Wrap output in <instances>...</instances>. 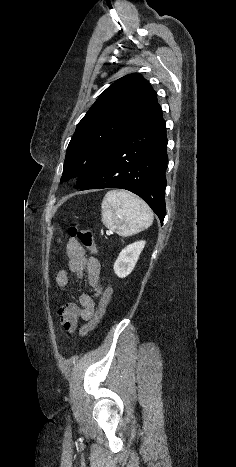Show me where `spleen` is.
I'll use <instances>...</instances> for the list:
<instances>
[{
  "label": "spleen",
  "mask_w": 236,
  "mask_h": 467,
  "mask_svg": "<svg viewBox=\"0 0 236 467\" xmlns=\"http://www.w3.org/2000/svg\"><path fill=\"white\" fill-rule=\"evenodd\" d=\"M101 208L103 224L122 237L136 234L153 223V212L149 206L127 191H108Z\"/></svg>",
  "instance_id": "obj_1"
}]
</instances>
